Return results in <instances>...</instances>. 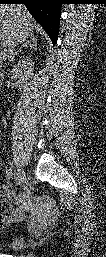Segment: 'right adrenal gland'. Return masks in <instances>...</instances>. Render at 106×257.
<instances>
[{
    "mask_svg": "<svg viewBox=\"0 0 106 257\" xmlns=\"http://www.w3.org/2000/svg\"><path fill=\"white\" fill-rule=\"evenodd\" d=\"M32 48V49H36L37 48V39L35 37H30L27 38L24 43L22 44V46L19 48L18 51H16L11 59V62H14V58L22 51L23 48Z\"/></svg>",
    "mask_w": 106,
    "mask_h": 257,
    "instance_id": "right-adrenal-gland-1",
    "label": "right adrenal gland"
}]
</instances>
